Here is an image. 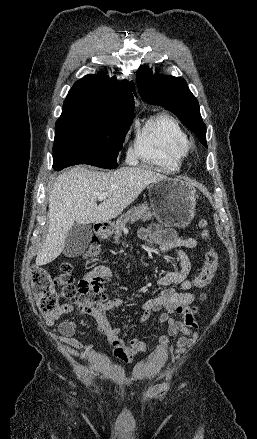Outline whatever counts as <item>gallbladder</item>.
<instances>
[{
  "label": "gallbladder",
  "instance_id": "obj_1",
  "mask_svg": "<svg viewBox=\"0 0 257 439\" xmlns=\"http://www.w3.org/2000/svg\"><path fill=\"white\" fill-rule=\"evenodd\" d=\"M91 237V225L75 223L66 236L63 250L64 255L67 257L81 255L89 245Z\"/></svg>",
  "mask_w": 257,
  "mask_h": 439
}]
</instances>
